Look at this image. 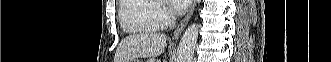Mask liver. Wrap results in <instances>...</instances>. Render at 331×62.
Instances as JSON below:
<instances>
[{
	"label": "liver",
	"mask_w": 331,
	"mask_h": 62,
	"mask_svg": "<svg viewBox=\"0 0 331 62\" xmlns=\"http://www.w3.org/2000/svg\"><path fill=\"white\" fill-rule=\"evenodd\" d=\"M166 39L165 34L150 31L127 36L118 45L114 62L159 56L165 50Z\"/></svg>",
	"instance_id": "1"
}]
</instances>
